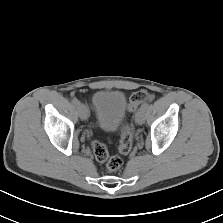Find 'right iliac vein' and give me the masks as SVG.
Masks as SVG:
<instances>
[{"instance_id": "obj_1", "label": "right iliac vein", "mask_w": 223, "mask_h": 223, "mask_svg": "<svg viewBox=\"0 0 223 223\" xmlns=\"http://www.w3.org/2000/svg\"><path fill=\"white\" fill-rule=\"evenodd\" d=\"M78 111H79V116L82 120H86L88 118V110L86 106L82 103H79L77 105Z\"/></svg>"}]
</instances>
